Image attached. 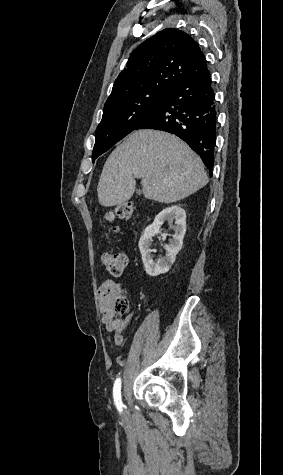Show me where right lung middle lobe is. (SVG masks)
<instances>
[{
    "instance_id": "obj_1",
    "label": "right lung middle lobe",
    "mask_w": 283,
    "mask_h": 475,
    "mask_svg": "<svg viewBox=\"0 0 283 475\" xmlns=\"http://www.w3.org/2000/svg\"><path fill=\"white\" fill-rule=\"evenodd\" d=\"M168 92L157 91L124 101L105 105L97 127L92 161L135 130L136 126L154 110Z\"/></svg>"
}]
</instances>
